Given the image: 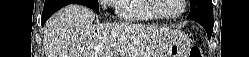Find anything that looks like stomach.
I'll list each match as a JSON object with an SVG mask.
<instances>
[{
	"mask_svg": "<svg viewBox=\"0 0 249 57\" xmlns=\"http://www.w3.org/2000/svg\"><path fill=\"white\" fill-rule=\"evenodd\" d=\"M189 37L179 30L168 31L159 37L153 57H188Z\"/></svg>",
	"mask_w": 249,
	"mask_h": 57,
	"instance_id": "1",
	"label": "stomach"
}]
</instances>
